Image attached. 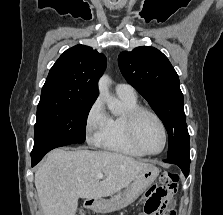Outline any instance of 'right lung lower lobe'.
Listing matches in <instances>:
<instances>
[{
	"mask_svg": "<svg viewBox=\"0 0 223 215\" xmlns=\"http://www.w3.org/2000/svg\"><path fill=\"white\" fill-rule=\"evenodd\" d=\"M54 148H57V147H50V148H47L43 151H40V152H36V153H31V158H32V166H35L42 158L43 156L49 152L50 150L54 149Z\"/></svg>",
	"mask_w": 223,
	"mask_h": 215,
	"instance_id": "obj_1",
	"label": "right lung lower lobe"
}]
</instances>
